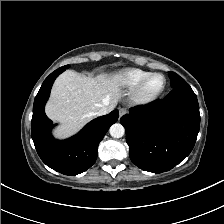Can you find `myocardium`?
I'll return each instance as SVG.
<instances>
[{
    "label": "myocardium",
    "instance_id": "1",
    "mask_svg": "<svg viewBox=\"0 0 224 224\" xmlns=\"http://www.w3.org/2000/svg\"><path fill=\"white\" fill-rule=\"evenodd\" d=\"M155 75H161L164 77V80H165L164 86L158 93H156L154 95L147 96L144 94V87H145L147 81ZM167 83H168V80H167V77L165 74H163L161 72H150L133 88V90L131 92L132 102L137 105H147V104H150V103L156 101L166 90Z\"/></svg>",
    "mask_w": 224,
    "mask_h": 224
}]
</instances>
